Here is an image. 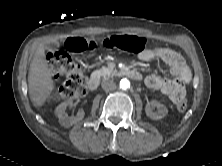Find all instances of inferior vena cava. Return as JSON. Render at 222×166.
<instances>
[{
  "instance_id": "inferior-vena-cava-1",
  "label": "inferior vena cava",
  "mask_w": 222,
  "mask_h": 166,
  "mask_svg": "<svg viewBox=\"0 0 222 166\" xmlns=\"http://www.w3.org/2000/svg\"><path fill=\"white\" fill-rule=\"evenodd\" d=\"M101 86L105 91H112L116 88L115 83L113 82V80L110 79L103 80Z\"/></svg>"
}]
</instances>
